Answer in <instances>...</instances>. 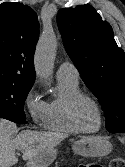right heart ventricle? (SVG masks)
<instances>
[{
    "mask_svg": "<svg viewBox=\"0 0 125 167\" xmlns=\"http://www.w3.org/2000/svg\"><path fill=\"white\" fill-rule=\"evenodd\" d=\"M59 95L46 104L45 118L42 127L49 131L75 134L78 130L71 123L68 113L70 100L81 93L79 82L69 79H58Z\"/></svg>",
    "mask_w": 125,
    "mask_h": 167,
    "instance_id": "1",
    "label": "right heart ventricle"
}]
</instances>
